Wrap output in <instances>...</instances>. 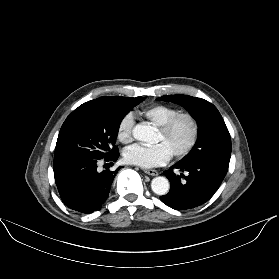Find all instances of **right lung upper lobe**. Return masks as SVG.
I'll list each match as a JSON object with an SVG mask.
<instances>
[{
	"mask_svg": "<svg viewBox=\"0 0 279 279\" xmlns=\"http://www.w3.org/2000/svg\"><path fill=\"white\" fill-rule=\"evenodd\" d=\"M110 99H130V98H125V97H111V96H104V97H100L98 99L95 100H91L89 102H86L82 105H86V104H90V103H95V102H101V101H105V100H110ZM81 105V106H82Z\"/></svg>",
	"mask_w": 279,
	"mask_h": 279,
	"instance_id": "obj_1",
	"label": "right lung upper lobe"
}]
</instances>
